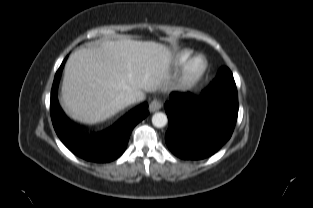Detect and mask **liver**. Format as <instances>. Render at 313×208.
I'll list each match as a JSON object with an SVG mask.
<instances>
[{
    "mask_svg": "<svg viewBox=\"0 0 313 208\" xmlns=\"http://www.w3.org/2000/svg\"><path fill=\"white\" fill-rule=\"evenodd\" d=\"M171 52L154 41L120 39L81 48L68 58L63 71L60 103L73 119L95 124L124 108L120 97L156 91L169 79Z\"/></svg>",
    "mask_w": 313,
    "mask_h": 208,
    "instance_id": "6515ba94",
    "label": "liver"
}]
</instances>
